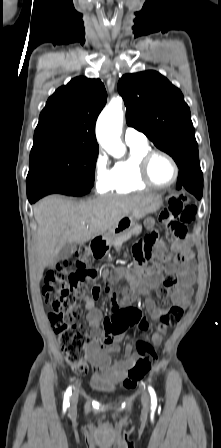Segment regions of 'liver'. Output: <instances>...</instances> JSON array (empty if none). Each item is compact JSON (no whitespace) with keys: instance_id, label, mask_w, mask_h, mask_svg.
Instances as JSON below:
<instances>
[{"instance_id":"1","label":"liver","mask_w":221,"mask_h":448,"mask_svg":"<svg viewBox=\"0 0 221 448\" xmlns=\"http://www.w3.org/2000/svg\"><path fill=\"white\" fill-rule=\"evenodd\" d=\"M153 194L100 196L74 202L59 195L48 196L34 207L38 224L35 236L37 278L66 243L83 244L115 227Z\"/></svg>"}]
</instances>
